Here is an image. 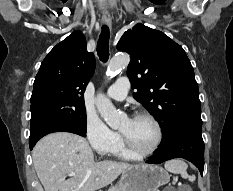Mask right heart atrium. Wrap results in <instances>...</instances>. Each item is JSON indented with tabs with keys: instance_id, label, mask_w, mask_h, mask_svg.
<instances>
[{
	"instance_id": "right-heart-atrium-1",
	"label": "right heart atrium",
	"mask_w": 233,
	"mask_h": 191,
	"mask_svg": "<svg viewBox=\"0 0 233 191\" xmlns=\"http://www.w3.org/2000/svg\"><path fill=\"white\" fill-rule=\"evenodd\" d=\"M85 131L90 145L99 155L111 154L121 141L117 132L94 115L87 116Z\"/></svg>"
}]
</instances>
